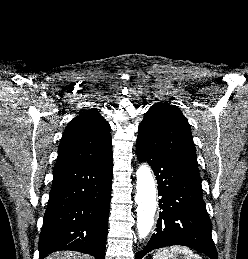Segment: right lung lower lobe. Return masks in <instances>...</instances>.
<instances>
[{"mask_svg":"<svg viewBox=\"0 0 248 259\" xmlns=\"http://www.w3.org/2000/svg\"><path fill=\"white\" fill-rule=\"evenodd\" d=\"M112 166L110 153L94 162L53 171L39 259L57 250L105 259Z\"/></svg>","mask_w":248,"mask_h":259,"instance_id":"1","label":"right lung lower lobe"}]
</instances>
